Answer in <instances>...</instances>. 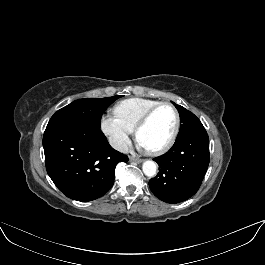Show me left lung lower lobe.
Segmentation results:
<instances>
[{
  "instance_id": "left-lung-lower-lobe-1",
  "label": "left lung lower lobe",
  "mask_w": 265,
  "mask_h": 265,
  "mask_svg": "<svg viewBox=\"0 0 265 265\" xmlns=\"http://www.w3.org/2000/svg\"><path fill=\"white\" fill-rule=\"evenodd\" d=\"M159 165L150 179L153 194L166 203H180L199 189L209 165V137L205 128L177 138L172 148L154 158Z\"/></svg>"
}]
</instances>
